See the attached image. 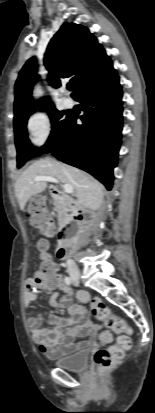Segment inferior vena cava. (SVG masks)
<instances>
[{
	"instance_id": "inferior-vena-cava-1",
	"label": "inferior vena cava",
	"mask_w": 155,
	"mask_h": 413,
	"mask_svg": "<svg viewBox=\"0 0 155 413\" xmlns=\"http://www.w3.org/2000/svg\"><path fill=\"white\" fill-rule=\"evenodd\" d=\"M61 169H62V171H63L64 174H66L68 177H70L69 173L66 171L65 168L61 167ZM67 267H68V270H69L70 272H76V273H78V268H77V266H76V264H75V262H74L73 260H71V259H68V260H67Z\"/></svg>"
}]
</instances>
